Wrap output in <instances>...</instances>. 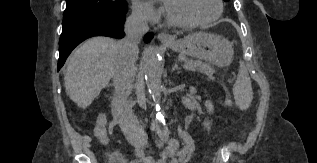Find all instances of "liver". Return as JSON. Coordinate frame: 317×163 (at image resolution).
<instances>
[{
  "instance_id": "6515ba94",
  "label": "liver",
  "mask_w": 317,
  "mask_h": 163,
  "mask_svg": "<svg viewBox=\"0 0 317 163\" xmlns=\"http://www.w3.org/2000/svg\"><path fill=\"white\" fill-rule=\"evenodd\" d=\"M118 45L119 42L109 37H93L71 55L64 74V85L68 96L78 107L87 108L108 85L114 75Z\"/></svg>"
}]
</instances>
